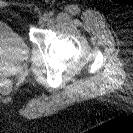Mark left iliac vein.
I'll list each match as a JSON object with an SVG mask.
<instances>
[{
	"mask_svg": "<svg viewBox=\"0 0 133 133\" xmlns=\"http://www.w3.org/2000/svg\"><path fill=\"white\" fill-rule=\"evenodd\" d=\"M47 20H48V17L46 15H44V16L39 18L38 22H39L40 25H44Z\"/></svg>",
	"mask_w": 133,
	"mask_h": 133,
	"instance_id": "left-iliac-vein-1",
	"label": "left iliac vein"
}]
</instances>
